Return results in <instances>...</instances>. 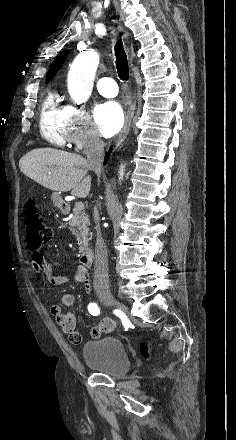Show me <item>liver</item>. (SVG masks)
<instances>
[{"label": "liver", "instance_id": "6515ba94", "mask_svg": "<svg viewBox=\"0 0 236 440\" xmlns=\"http://www.w3.org/2000/svg\"><path fill=\"white\" fill-rule=\"evenodd\" d=\"M23 174L53 191L67 192L85 198L91 189L88 161L81 155L53 148H38L19 161Z\"/></svg>", "mask_w": 236, "mask_h": 440}]
</instances>
